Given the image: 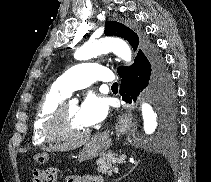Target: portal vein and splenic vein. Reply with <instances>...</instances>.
<instances>
[{"label":"portal vein and splenic vein","instance_id":"1","mask_svg":"<svg viewBox=\"0 0 211 182\" xmlns=\"http://www.w3.org/2000/svg\"><path fill=\"white\" fill-rule=\"evenodd\" d=\"M114 172H115V173H118V172H119V169H118V168H115V169H114Z\"/></svg>","mask_w":211,"mask_h":182}]
</instances>
